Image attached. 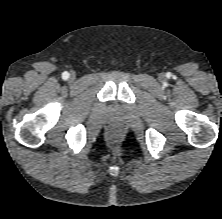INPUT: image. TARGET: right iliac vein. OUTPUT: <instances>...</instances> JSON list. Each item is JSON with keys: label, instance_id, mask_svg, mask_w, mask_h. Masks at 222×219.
Instances as JSON below:
<instances>
[{"label": "right iliac vein", "instance_id": "right-iliac-vein-1", "mask_svg": "<svg viewBox=\"0 0 222 219\" xmlns=\"http://www.w3.org/2000/svg\"><path fill=\"white\" fill-rule=\"evenodd\" d=\"M75 74L74 73H72L70 76H69V80L70 81H74L75 80Z\"/></svg>", "mask_w": 222, "mask_h": 219}]
</instances>
